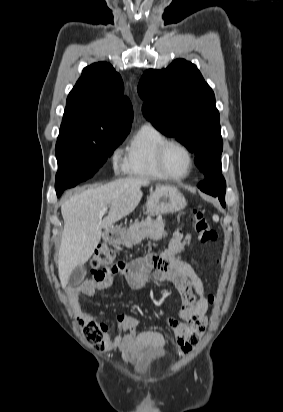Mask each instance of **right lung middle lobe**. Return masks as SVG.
Instances as JSON below:
<instances>
[{
    "label": "right lung middle lobe",
    "mask_w": 283,
    "mask_h": 412,
    "mask_svg": "<svg viewBox=\"0 0 283 412\" xmlns=\"http://www.w3.org/2000/svg\"><path fill=\"white\" fill-rule=\"evenodd\" d=\"M127 134H95L84 130L75 121L63 120L55 150L58 161L56 182L91 178Z\"/></svg>",
    "instance_id": "1"
}]
</instances>
